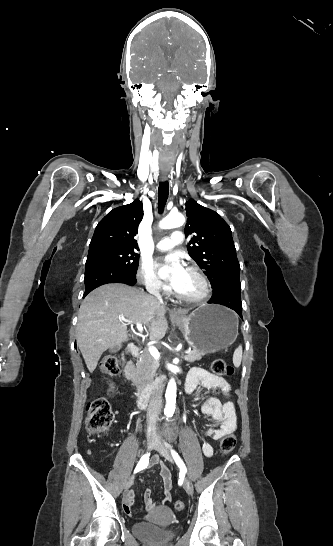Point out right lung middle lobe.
Masks as SVG:
<instances>
[{"mask_svg": "<svg viewBox=\"0 0 333 546\" xmlns=\"http://www.w3.org/2000/svg\"><path fill=\"white\" fill-rule=\"evenodd\" d=\"M95 262L107 263L136 273L139 264V254L133 249L103 247L89 251L86 265Z\"/></svg>", "mask_w": 333, "mask_h": 546, "instance_id": "right-lung-middle-lobe-1", "label": "right lung middle lobe"}]
</instances>
